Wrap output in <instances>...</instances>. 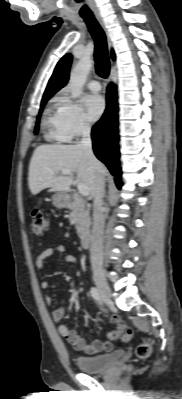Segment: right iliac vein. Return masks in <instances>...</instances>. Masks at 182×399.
Wrapping results in <instances>:
<instances>
[{
	"instance_id": "63e3f726",
	"label": "right iliac vein",
	"mask_w": 182,
	"mask_h": 399,
	"mask_svg": "<svg viewBox=\"0 0 182 399\" xmlns=\"http://www.w3.org/2000/svg\"><path fill=\"white\" fill-rule=\"evenodd\" d=\"M94 282L103 301L109 304L111 302V292L108 284L104 279V276L102 274H96L94 276Z\"/></svg>"
}]
</instances>
